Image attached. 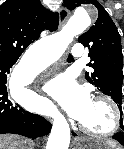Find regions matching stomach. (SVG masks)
I'll use <instances>...</instances> for the list:
<instances>
[{
	"mask_svg": "<svg viewBox=\"0 0 124 149\" xmlns=\"http://www.w3.org/2000/svg\"><path fill=\"white\" fill-rule=\"evenodd\" d=\"M79 149H112L114 146L111 142H99L89 138H81L78 144Z\"/></svg>",
	"mask_w": 124,
	"mask_h": 149,
	"instance_id": "stomach-1",
	"label": "stomach"
}]
</instances>
